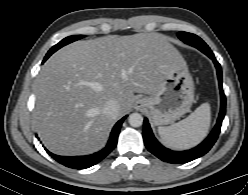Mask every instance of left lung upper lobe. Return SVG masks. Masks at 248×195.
<instances>
[{"label":"left lung upper lobe","mask_w":248,"mask_h":195,"mask_svg":"<svg viewBox=\"0 0 248 195\" xmlns=\"http://www.w3.org/2000/svg\"><path fill=\"white\" fill-rule=\"evenodd\" d=\"M178 37L185 42L197 49L204 48L205 50L211 51L208 45L197 35L188 32H178Z\"/></svg>","instance_id":"left-lung-upper-lobe-1"}]
</instances>
